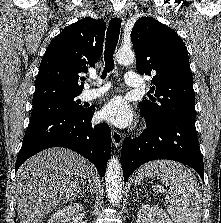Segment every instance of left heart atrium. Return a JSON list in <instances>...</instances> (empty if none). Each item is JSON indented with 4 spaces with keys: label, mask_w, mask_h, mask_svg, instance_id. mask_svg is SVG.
<instances>
[{
    "label": "left heart atrium",
    "mask_w": 221,
    "mask_h": 223,
    "mask_svg": "<svg viewBox=\"0 0 221 223\" xmlns=\"http://www.w3.org/2000/svg\"><path fill=\"white\" fill-rule=\"evenodd\" d=\"M100 118L117 127H127L132 123L134 113L123 97L115 96L103 106Z\"/></svg>",
    "instance_id": "obj_1"
}]
</instances>
